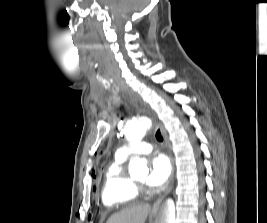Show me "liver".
Returning a JSON list of instances; mask_svg holds the SVG:
<instances>
[{"label": "liver", "mask_w": 267, "mask_h": 223, "mask_svg": "<svg viewBox=\"0 0 267 223\" xmlns=\"http://www.w3.org/2000/svg\"><path fill=\"white\" fill-rule=\"evenodd\" d=\"M150 209L149 204L133 205L111 215L106 223H144Z\"/></svg>", "instance_id": "1"}]
</instances>
